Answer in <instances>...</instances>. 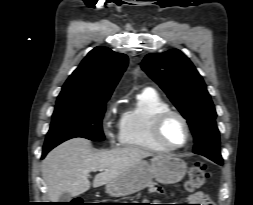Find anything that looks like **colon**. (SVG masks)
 <instances>
[{
	"label": "colon",
	"instance_id": "obj_1",
	"mask_svg": "<svg viewBox=\"0 0 253 205\" xmlns=\"http://www.w3.org/2000/svg\"><path fill=\"white\" fill-rule=\"evenodd\" d=\"M210 179V173L207 170L205 163L197 162L193 164L189 170L188 180L185 184V189L188 192H193L203 187ZM71 205H85L83 201L77 200L72 202Z\"/></svg>",
	"mask_w": 253,
	"mask_h": 205
}]
</instances>
